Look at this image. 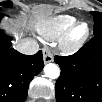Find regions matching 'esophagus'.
<instances>
[{
  "instance_id": "esophagus-1",
  "label": "esophagus",
  "mask_w": 102,
  "mask_h": 102,
  "mask_svg": "<svg viewBox=\"0 0 102 102\" xmlns=\"http://www.w3.org/2000/svg\"><path fill=\"white\" fill-rule=\"evenodd\" d=\"M42 51H43V60L45 64L50 63L54 60L53 54L48 48H43Z\"/></svg>"
}]
</instances>
